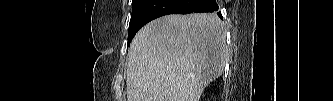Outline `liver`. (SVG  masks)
<instances>
[{"instance_id": "obj_1", "label": "liver", "mask_w": 333, "mask_h": 101, "mask_svg": "<svg viewBox=\"0 0 333 101\" xmlns=\"http://www.w3.org/2000/svg\"><path fill=\"white\" fill-rule=\"evenodd\" d=\"M227 60L226 31L216 14L158 18L128 50L127 101H199Z\"/></svg>"}]
</instances>
